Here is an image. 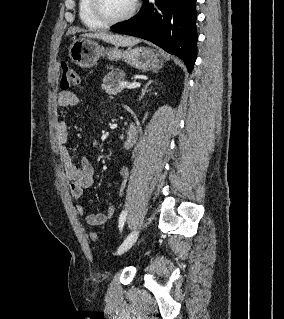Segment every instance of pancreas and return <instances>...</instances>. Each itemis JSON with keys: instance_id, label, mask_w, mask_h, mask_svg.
I'll return each instance as SVG.
<instances>
[{"instance_id": "pancreas-1", "label": "pancreas", "mask_w": 284, "mask_h": 319, "mask_svg": "<svg viewBox=\"0 0 284 319\" xmlns=\"http://www.w3.org/2000/svg\"><path fill=\"white\" fill-rule=\"evenodd\" d=\"M116 72L120 74L119 78H114L113 75ZM124 77L125 74L122 71L112 70L110 73L104 76L102 89L105 90L108 94L116 95L126 87V85L124 84Z\"/></svg>"}]
</instances>
